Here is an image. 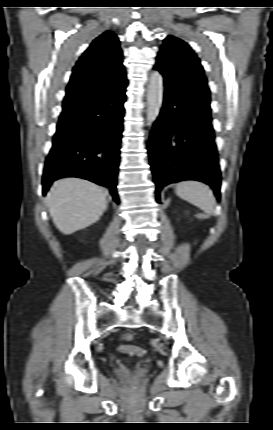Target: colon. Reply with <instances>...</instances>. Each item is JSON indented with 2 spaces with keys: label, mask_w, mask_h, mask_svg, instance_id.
Returning a JSON list of instances; mask_svg holds the SVG:
<instances>
[{
  "label": "colon",
  "mask_w": 273,
  "mask_h": 430,
  "mask_svg": "<svg viewBox=\"0 0 273 430\" xmlns=\"http://www.w3.org/2000/svg\"><path fill=\"white\" fill-rule=\"evenodd\" d=\"M122 338L123 340L130 342L133 340L134 336L133 334L126 332L122 335ZM120 351L129 353L135 356H139V357L145 355L147 352L145 348L139 347V346H131L129 349H126V350L120 349Z\"/></svg>",
  "instance_id": "colon-1"
}]
</instances>
